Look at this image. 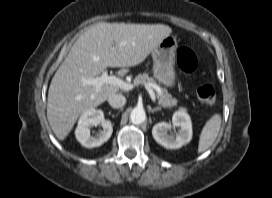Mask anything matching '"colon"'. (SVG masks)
<instances>
[{
  "instance_id": "1",
  "label": "colon",
  "mask_w": 272,
  "mask_h": 198,
  "mask_svg": "<svg viewBox=\"0 0 272 198\" xmlns=\"http://www.w3.org/2000/svg\"><path fill=\"white\" fill-rule=\"evenodd\" d=\"M177 63L182 71L191 74L198 67V58L192 49L182 46L177 52ZM197 97L203 104L212 106L216 102V90L212 85L200 86Z\"/></svg>"
}]
</instances>
